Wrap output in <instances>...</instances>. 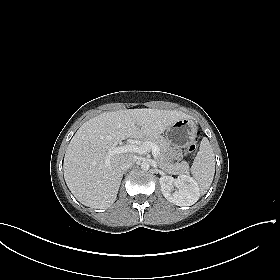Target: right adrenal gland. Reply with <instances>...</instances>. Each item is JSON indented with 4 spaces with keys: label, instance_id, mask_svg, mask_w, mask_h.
Returning <instances> with one entry per match:
<instances>
[{
    "label": "right adrenal gland",
    "instance_id": "2a0ac1e0",
    "mask_svg": "<svg viewBox=\"0 0 280 280\" xmlns=\"http://www.w3.org/2000/svg\"><path fill=\"white\" fill-rule=\"evenodd\" d=\"M124 174H126V172H125V171H122V176H123Z\"/></svg>",
    "mask_w": 280,
    "mask_h": 280
}]
</instances>
